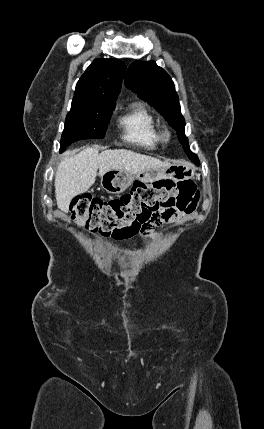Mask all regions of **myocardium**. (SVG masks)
Instances as JSON below:
<instances>
[{
	"mask_svg": "<svg viewBox=\"0 0 264 429\" xmlns=\"http://www.w3.org/2000/svg\"><path fill=\"white\" fill-rule=\"evenodd\" d=\"M162 137L168 139L170 137V132L168 130H164L162 132Z\"/></svg>",
	"mask_w": 264,
	"mask_h": 429,
	"instance_id": "1",
	"label": "myocardium"
}]
</instances>
